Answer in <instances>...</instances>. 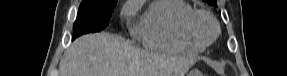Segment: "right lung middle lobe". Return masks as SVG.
<instances>
[{"label":"right lung middle lobe","mask_w":287,"mask_h":76,"mask_svg":"<svg viewBox=\"0 0 287 76\" xmlns=\"http://www.w3.org/2000/svg\"><path fill=\"white\" fill-rule=\"evenodd\" d=\"M117 0H83L73 26V38L100 32L109 22Z\"/></svg>","instance_id":"1"}]
</instances>
